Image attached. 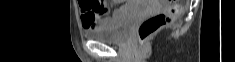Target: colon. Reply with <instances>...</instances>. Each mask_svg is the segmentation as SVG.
I'll return each mask as SVG.
<instances>
[{"mask_svg":"<svg viewBox=\"0 0 235 62\" xmlns=\"http://www.w3.org/2000/svg\"><path fill=\"white\" fill-rule=\"evenodd\" d=\"M168 7L160 13H157L145 19L138 28V37L144 42L161 28L171 24L181 13L182 5L177 0H169ZM92 6L98 8L99 5L92 3Z\"/></svg>","mask_w":235,"mask_h":62,"instance_id":"1","label":"colon"}]
</instances>
